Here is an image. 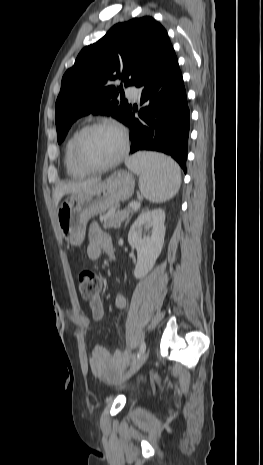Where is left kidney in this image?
<instances>
[{
	"label": "left kidney",
	"instance_id": "1",
	"mask_svg": "<svg viewBox=\"0 0 263 465\" xmlns=\"http://www.w3.org/2000/svg\"><path fill=\"white\" fill-rule=\"evenodd\" d=\"M164 222L165 212L162 209H154L140 214L132 224L128 242L137 250L134 270L136 278L144 277L155 265L164 244ZM143 231L149 234L143 235Z\"/></svg>",
	"mask_w": 263,
	"mask_h": 465
}]
</instances>
